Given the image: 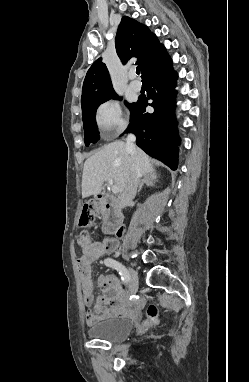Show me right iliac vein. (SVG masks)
<instances>
[{
  "instance_id": "obj_1",
  "label": "right iliac vein",
  "mask_w": 249,
  "mask_h": 382,
  "mask_svg": "<svg viewBox=\"0 0 249 382\" xmlns=\"http://www.w3.org/2000/svg\"><path fill=\"white\" fill-rule=\"evenodd\" d=\"M137 287L138 275L132 268H129V291L134 293L137 290Z\"/></svg>"
}]
</instances>
